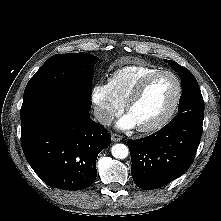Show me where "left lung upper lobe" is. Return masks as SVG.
Returning <instances> with one entry per match:
<instances>
[{
    "label": "left lung upper lobe",
    "mask_w": 221,
    "mask_h": 221,
    "mask_svg": "<svg viewBox=\"0 0 221 221\" xmlns=\"http://www.w3.org/2000/svg\"><path fill=\"white\" fill-rule=\"evenodd\" d=\"M177 72L182 80V94L179 101L178 114L196 112L204 114V102L200 88L194 75L175 61L165 60Z\"/></svg>",
    "instance_id": "obj_1"
}]
</instances>
